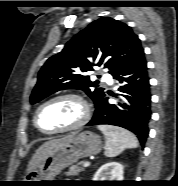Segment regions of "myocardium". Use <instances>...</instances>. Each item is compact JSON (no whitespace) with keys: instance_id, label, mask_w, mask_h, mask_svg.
<instances>
[{"instance_id":"myocardium-1","label":"myocardium","mask_w":178,"mask_h":186,"mask_svg":"<svg viewBox=\"0 0 178 186\" xmlns=\"http://www.w3.org/2000/svg\"><path fill=\"white\" fill-rule=\"evenodd\" d=\"M60 99H74V100H76L82 107V110H83L82 116L80 117V119L76 123H74L68 127H65V128L59 129V130H54V131L43 130L40 127L39 122H38V117H39L40 111L42 110V108L44 106H46L54 101L60 100ZM90 117H91V108H90V105L88 104V102L85 100V98L83 96H81L80 94L68 92V93H62V94L56 95V96L44 101L42 104H40L34 114V125L43 134L56 135V134L70 132V131H75V130L82 128L89 121Z\"/></svg>"}]
</instances>
